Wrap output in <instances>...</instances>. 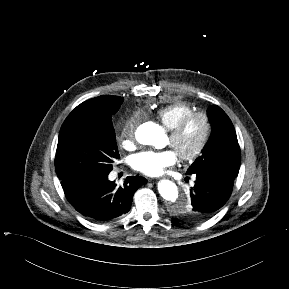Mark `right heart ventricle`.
Segmentation results:
<instances>
[{
    "instance_id": "e07e8e85",
    "label": "right heart ventricle",
    "mask_w": 289,
    "mask_h": 289,
    "mask_svg": "<svg viewBox=\"0 0 289 289\" xmlns=\"http://www.w3.org/2000/svg\"><path fill=\"white\" fill-rule=\"evenodd\" d=\"M191 112H194V109L189 104L176 102L159 108L156 116L160 122L170 130L182 117Z\"/></svg>"
}]
</instances>
